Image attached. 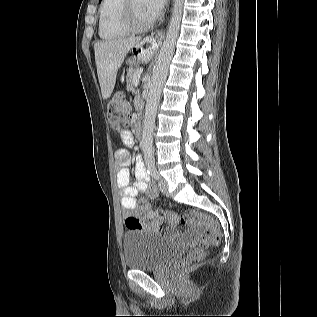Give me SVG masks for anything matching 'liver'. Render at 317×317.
<instances>
[{
    "label": "liver",
    "mask_w": 317,
    "mask_h": 317,
    "mask_svg": "<svg viewBox=\"0 0 317 317\" xmlns=\"http://www.w3.org/2000/svg\"><path fill=\"white\" fill-rule=\"evenodd\" d=\"M141 37L98 41L94 44L95 62L103 99H108L114 89L118 69L126 54L139 46Z\"/></svg>",
    "instance_id": "1"
}]
</instances>
